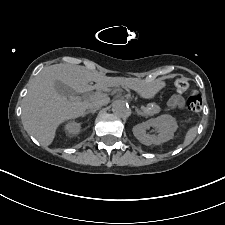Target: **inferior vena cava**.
Wrapping results in <instances>:
<instances>
[{
  "instance_id": "inferior-vena-cava-1",
  "label": "inferior vena cava",
  "mask_w": 225,
  "mask_h": 225,
  "mask_svg": "<svg viewBox=\"0 0 225 225\" xmlns=\"http://www.w3.org/2000/svg\"><path fill=\"white\" fill-rule=\"evenodd\" d=\"M106 104V97L98 96L96 100L88 106L89 110H98Z\"/></svg>"
}]
</instances>
